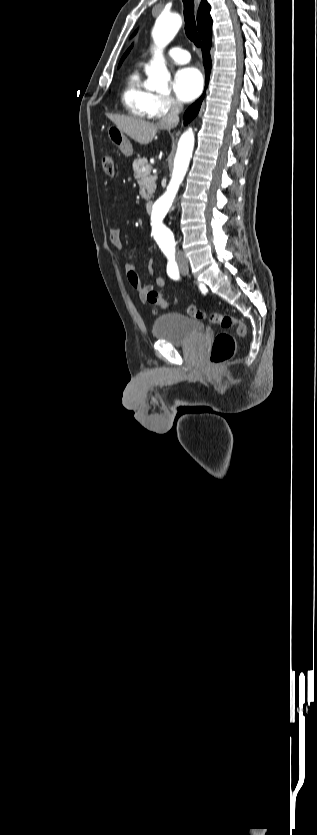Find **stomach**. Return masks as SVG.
<instances>
[{
  "label": "stomach",
  "instance_id": "obj_1",
  "mask_svg": "<svg viewBox=\"0 0 317 835\" xmlns=\"http://www.w3.org/2000/svg\"><path fill=\"white\" fill-rule=\"evenodd\" d=\"M107 135L112 144L117 146L126 157L133 154V147L130 140L125 136L124 132L116 125H110L107 128Z\"/></svg>",
  "mask_w": 317,
  "mask_h": 835
}]
</instances>
